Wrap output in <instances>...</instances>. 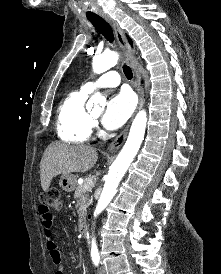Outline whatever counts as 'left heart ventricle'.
Returning <instances> with one entry per match:
<instances>
[{"label":"left heart ventricle","mask_w":221,"mask_h":274,"mask_svg":"<svg viewBox=\"0 0 221 274\" xmlns=\"http://www.w3.org/2000/svg\"><path fill=\"white\" fill-rule=\"evenodd\" d=\"M94 116H95V117H98V116H99V113L94 114Z\"/></svg>","instance_id":"obj_1"}]
</instances>
